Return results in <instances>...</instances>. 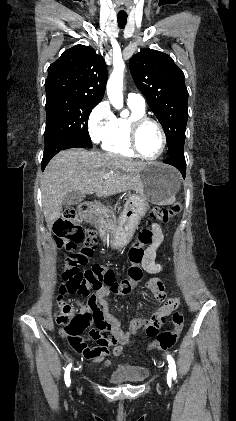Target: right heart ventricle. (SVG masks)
Masks as SVG:
<instances>
[{
    "label": "right heart ventricle",
    "mask_w": 236,
    "mask_h": 421,
    "mask_svg": "<svg viewBox=\"0 0 236 421\" xmlns=\"http://www.w3.org/2000/svg\"><path fill=\"white\" fill-rule=\"evenodd\" d=\"M129 107L131 111L129 115L114 117L112 125L104 136L101 144L103 150L124 158L136 157L135 153L131 149L127 136L128 122L132 117L141 116L145 113V108L143 107L130 103Z\"/></svg>",
    "instance_id": "obj_1"
}]
</instances>
